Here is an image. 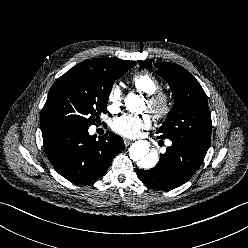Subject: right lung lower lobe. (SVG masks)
<instances>
[{
	"label": "right lung lower lobe",
	"mask_w": 248,
	"mask_h": 248,
	"mask_svg": "<svg viewBox=\"0 0 248 248\" xmlns=\"http://www.w3.org/2000/svg\"><path fill=\"white\" fill-rule=\"evenodd\" d=\"M44 149L54 169L75 183L102 177L113 158L124 149L123 139L107 132L96 140L87 127L57 126L42 129Z\"/></svg>",
	"instance_id": "98d812e1"
}]
</instances>
